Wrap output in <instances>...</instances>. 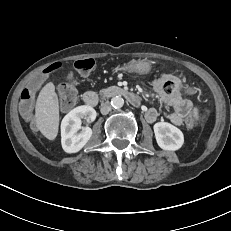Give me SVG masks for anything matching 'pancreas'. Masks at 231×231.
I'll return each mask as SVG.
<instances>
[{"instance_id":"cf45deb5","label":"pancreas","mask_w":231,"mask_h":231,"mask_svg":"<svg viewBox=\"0 0 231 231\" xmlns=\"http://www.w3.org/2000/svg\"><path fill=\"white\" fill-rule=\"evenodd\" d=\"M104 92H105V90L103 89L100 91V94L103 95Z\"/></svg>"}]
</instances>
